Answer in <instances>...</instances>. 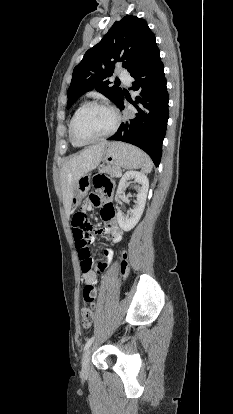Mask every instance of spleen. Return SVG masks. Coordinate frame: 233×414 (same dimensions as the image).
<instances>
[{"mask_svg": "<svg viewBox=\"0 0 233 414\" xmlns=\"http://www.w3.org/2000/svg\"><path fill=\"white\" fill-rule=\"evenodd\" d=\"M153 168V163L151 161V159L144 154V163L141 166V169L144 173H150L152 171Z\"/></svg>", "mask_w": 233, "mask_h": 414, "instance_id": "3e777b00", "label": "spleen"}]
</instances>
